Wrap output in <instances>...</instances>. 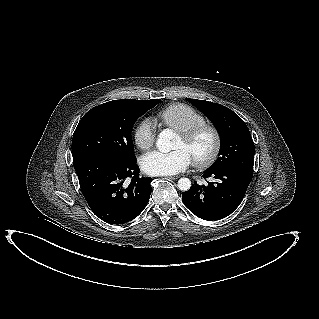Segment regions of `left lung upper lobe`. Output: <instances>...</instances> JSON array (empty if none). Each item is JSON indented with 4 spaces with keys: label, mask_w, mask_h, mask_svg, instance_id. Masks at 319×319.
<instances>
[{
    "label": "left lung upper lobe",
    "mask_w": 319,
    "mask_h": 319,
    "mask_svg": "<svg viewBox=\"0 0 319 319\" xmlns=\"http://www.w3.org/2000/svg\"><path fill=\"white\" fill-rule=\"evenodd\" d=\"M214 124L221 138L219 158L210 170L238 168L253 174L255 147L245 122L229 108L205 100L187 99Z\"/></svg>",
    "instance_id": "left-lung-upper-lobe-1"
}]
</instances>
